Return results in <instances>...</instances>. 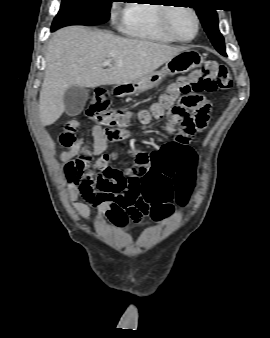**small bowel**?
I'll use <instances>...</instances> for the list:
<instances>
[{
  "label": "small bowel",
  "mask_w": 270,
  "mask_h": 338,
  "mask_svg": "<svg viewBox=\"0 0 270 338\" xmlns=\"http://www.w3.org/2000/svg\"><path fill=\"white\" fill-rule=\"evenodd\" d=\"M208 107L207 115L211 112ZM174 122L177 119L173 120ZM89 132L94 138V148L84 146V131L77 120L68 121L60 134L59 140L63 151L61 159L64 162L77 160L82 163V174L76 184L69 190V201L74 210L85 221L89 220V209H96L95 219L104 225L105 218L112 219L116 204L113 198L103 189L102 184L112 170L110 161L114 155L106 151L109 145L120 143L122 134L108 135L97 125H90ZM196 132L188 135L189 141L181 145L178 151L163 156L141 154L137 149L131 150L133 156L142 159V166L147 167L150 176L149 194L154 207H167L168 212L163 218L173 212L175 194L178 190H189L190 176L197 164V155L190 145ZM174 141V140H173ZM81 197L84 203L77 202Z\"/></svg>",
  "instance_id": "c3829d8e"
}]
</instances>
